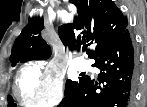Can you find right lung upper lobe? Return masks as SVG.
Masks as SVG:
<instances>
[{
	"instance_id": "right-lung-upper-lobe-1",
	"label": "right lung upper lobe",
	"mask_w": 147,
	"mask_h": 107,
	"mask_svg": "<svg viewBox=\"0 0 147 107\" xmlns=\"http://www.w3.org/2000/svg\"><path fill=\"white\" fill-rule=\"evenodd\" d=\"M77 7L78 16L73 23L59 27V37L69 50L79 48L85 42L92 45L89 58L114 43L127 29V18L112 0H70ZM43 19H30L15 40L10 61L12 65L30 59L43 60L51 55L50 46L42 39Z\"/></svg>"
}]
</instances>
